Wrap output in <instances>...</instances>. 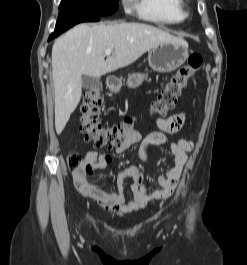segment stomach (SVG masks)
Instances as JSON below:
<instances>
[{
    "mask_svg": "<svg viewBox=\"0 0 247 265\" xmlns=\"http://www.w3.org/2000/svg\"><path fill=\"white\" fill-rule=\"evenodd\" d=\"M188 44L185 41L165 42L153 47L148 55L150 67L161 73L172 72L180 67L188 58ZM147 78L144 73H132L127 85L136 88ZM108 88L113 93H118L121 89V82L110 83Z\"/></svg>",
    "mask_w": 247,
    "mask_h": 265,
    "instance_id": "1",
    "label": "stomach"
}]
</instances>
